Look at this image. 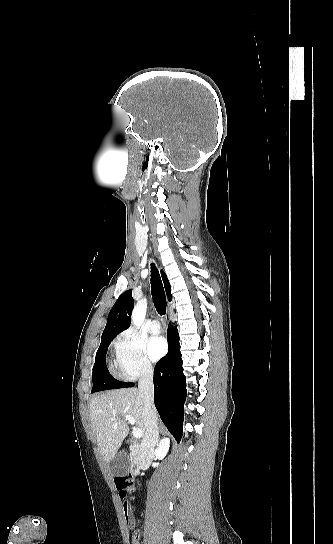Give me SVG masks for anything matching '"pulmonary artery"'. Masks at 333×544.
<instances>
[{"mask_svg":"<svg viewBox=\"0 0 333 544\" xmlns=\"http://www.w3.org/2000/svg\"><path fill=\"white\" fill-rule=\"evenodd\" d=\"M149 330L154 335L159 334L161 330L159 321L156 319H153L149 324Z\"/></svg>","mask_w":333,"mask_h":544,"instance_id":"1","label":"pulmonary artery"}]
</instances>
